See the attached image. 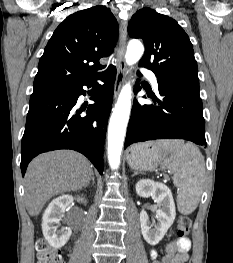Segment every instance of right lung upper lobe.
Returning a JSON list of instances; mask_svg holds the SVG:
<instances>
[{"label":"right lung upper lobe","mask_w":233,"mask_h":263,"mask_svg":"<svg viewBox=\"0 0 233 263\" xmlns=\"http://www.w3.org/2000/svg\"><path fill=\"white\" fill-rule=\"evenodd\" d=\"M117 37L118 23L105 6L68 16L54 31L39 60L32 94L93 80L102 68L99 59L111 55Z\"/></svg>","instance_id":"cb5924a9"}]
</instances>
